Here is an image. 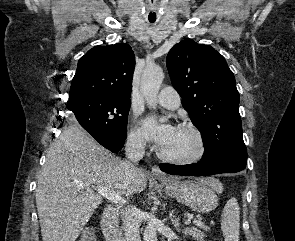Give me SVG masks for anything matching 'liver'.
<instances>
[{
  "label": "liver",
  "mask_w": 295,
  "mask_h": 241,
  "mask_svg": "<svg viewBox=\"0 0 295 241\" xmlns=\"http://www.w3.org/2000/svg\"><path fill=\"white\" fill-rule=\"evenodd\" d=\"M209 185L218 181L201 179ZM146 174L124 176L123 161L79 127H70L50 146L37 180L36 205L43 241H76L102 197L95 187L120 196L142 192Z\"/></svg>",
  "instance_id": "liver-1"
}]
</instances>
